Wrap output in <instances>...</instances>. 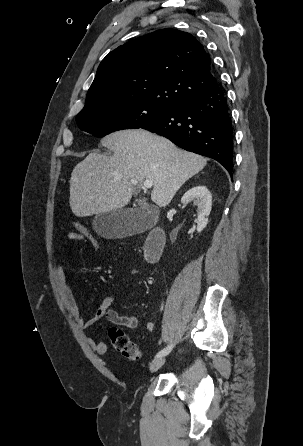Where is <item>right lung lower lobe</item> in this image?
Here are the masks:
<instances>
[{
  "mask_svg": "<svg viewBox=\"0 0 303 446\" xmlns=\"http://www.w3.org/2000/svg\"><path fill=\"white\" fill-rule=\"evenodd\" d=\"M141 128L179 147L215 159L232 175L233 128L227 98L219 84L194 92Z\"/></svg>",
  "mask_w": 303,
  "mask_h": 446,
  "instance_id": "right-lung-lower-lobe-1",
  "label": "right lung lower lobe"
}]
</instances>
